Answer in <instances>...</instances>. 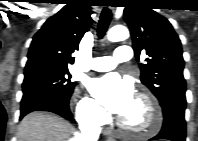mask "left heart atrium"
<instances>
[{"label":"left heart atrium","mask_w":198,"mask_h":141,"mask_svg":"<svg viewBox=\"0 0 198 141\" xmlns=\"http://www.w3.org/2000/svg\"><path fill=\"white\" fill-rule=\"evenodd\" d=\"M91 94L109 112L123 116L135 100L134 88L130 81L116 73L93 79L89 85Z\"/></svg>","instance_id":"39dd6f15"}]
</instances>
